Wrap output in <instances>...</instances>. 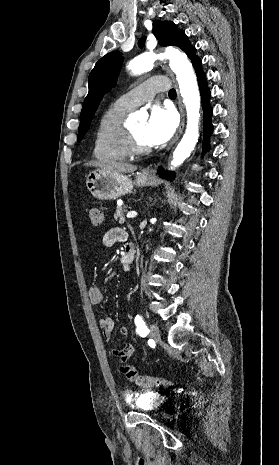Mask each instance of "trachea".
Wrapping results in <instances>:
<instances>
[{
	"instance_id": "obj_1",
	"label": "trachea",
	"mask_w": 279,
	"mask_h": 465,
	"mask_svg": "<svg viewBox=\"0 0 279 465\" xmlns=\"http://www.w3.org/2000/svg\"><path fill=\"white\" fill-rule=\"evenodd\" d=\"M169 97H176V91H175V89H171V90L169 91Z\"/></svg>"
}]
</instances>
